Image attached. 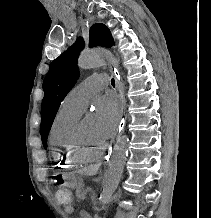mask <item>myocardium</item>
Wrapping results in <instances>:
<instances>
[{
	"label": "myocardium",
	"instance_id": "myocardium-1",
	"mask_svg": "<svg viewBox=\"0 0 211 218\" xmlns=\"http://www.w3.org/2000/svg\"><path fill=\"white\" fill-rule=\"evenodd\" d=\"M74 147L82 155L100 157L108 149L109 143L95 146L87 142L82 134V123H78L74 132Z\"/></svg>",
	"mask_w": 211,
	"mask_h": 218
}]
</instances>
